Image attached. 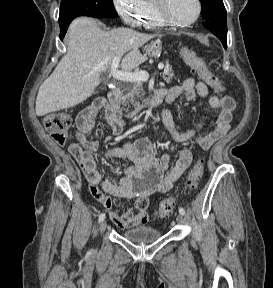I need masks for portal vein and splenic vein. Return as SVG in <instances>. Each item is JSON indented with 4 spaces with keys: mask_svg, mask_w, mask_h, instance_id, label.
<instances>
[{
    "mask_svg": "<svg viewBox=\"0 0 273 288\" xmlns=\"http://www.w3.org/2000/svg\"><path fill=\"white\" fill-rule=\"evenodd\" d=\"M120 58H114L111 64L110 74L111 76L119 81L123 82H139V81H147L149 79V74L146 71H139V72H123L117 70L119 65ZM164 64H159L158 68L162 69Z\"/></svg>",
    "mask_w": 273,
    "mask_h": 288,
    "instance_id": "portal-vein-and-splenic-vein-1",
    "label": "portal vein and splenic vein"
}]
</instances>
